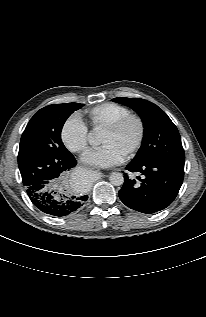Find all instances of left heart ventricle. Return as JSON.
Returning a JSON list of instances; mask_svg holds the SVG:
<instances>
[{"mask_svg": "<svg viewBox=\"0 0 206 317\" xmlns=\"http://www.w3.org/2000/svg\"><path fill=\"white\" fill-rule=\"evenodd\" d=\"M137 131V124L135 122H130L118 132L103 131L100 141L104 144L113 145L121 152L125 153L135 141Z\"/></svg>", "mask_w": 206, "mask_h": 317, "instance_id": "left-heart-ventricle-1", "label": "left heart ventricle"}]
</instances>
